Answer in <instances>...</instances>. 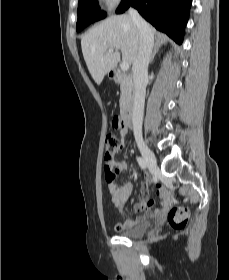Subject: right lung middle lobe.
<instances>
[{
	"label": "right lung middle lobe",
	"mask_w": 229,
	"mask_h": 280,
	"mask_svg": "<svg viewBox=\"0 0 229 280\" xmlns=\"http://www.w3.org/2000/svg\"><path fill=\"white\" fill-rule=\"evenodd\" d=\"M77 14V32L84 29L90 23L106 17V13L101 11L98 5V0H79Z\"/></svg>",
	"instance_id": "right-lung-middle-lobe-1"
}]
</instances>
